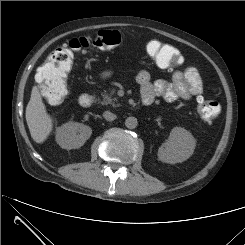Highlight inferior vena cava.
<instances>
[{
    "label": "inferior vena cava",
    "instance_id": "inferior-vena-cava-1",
    "mask_svg": "<svg viewBox=\"0 0 245 245\" xmlns=\"http://www.w3.org/2000/svg\"><path fill=\"white\" fill-rule=\"evenodd\" d=\"M103 117L107 120V121H113L116 119V115L113 114L112 112L110 111H105L103 113Z\"/></svg>",
    "mask_w": 245,
    "mask_h": 245
}]
</instances>
